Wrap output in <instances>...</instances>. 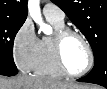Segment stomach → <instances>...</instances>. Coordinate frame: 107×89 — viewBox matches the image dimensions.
Masks as SVG:
<instances>
[{
  "label": "stomach",
  "mask_w": 107,
  "mask_h": 89,
  "mask_svg": "<svg viewBox=\"0 0 107 89\" xmlns=\"http://www.w3.org/2000/svg\"><path fill=\"white\" fill-rule=\"evenodd\" d=\"M68 89H81V88L69 87ZM82 89H87V88H82ZM88 89H89V88H88Z\"/></svg>",
  "instance_id": "obj_1"
}]
</instances>
